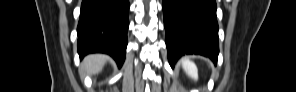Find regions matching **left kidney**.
<instances>
[{"instance_id": "left-kidney-1", "label": "left kidney", "mask_w": 296, "mask_h": 92, "mask_svg": "<svg viewBox=\"0 0 296 92\" xmlns=\"http://www.w3.org/2000/svg\"><path fill=\"white\" fill-rule=\"evenodd\" d=\"M182 67L189 77H191L194 80L198 79V69H197L195 63H193L189 59H183L182 60Z\"/></svg>"}]
</instances>
